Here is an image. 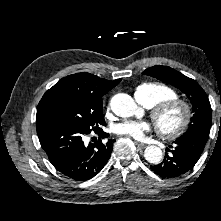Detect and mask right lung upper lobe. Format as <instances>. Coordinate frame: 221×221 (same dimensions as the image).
Returning a JSON list of instances; mask_svg holds the SVG:
<instances>
[{
    "label": "right lung upper lobe",
    "mask_w": 221,
    "mask_h": 221,
    "mask_svg": "<svg viewBox=\"0 0 221 221\" xmlns=\"http://www.w3.org/2000/svg\"><path fill=\"white\" fill-rule=\"evenodd\" d=\"M121 79L114 81L102 79L90 73H76L59 80L47 90L40 103L61 94L73 93L102 99V96L114 88Z\"/></svg>",
    "instance_id": "1"
}]
</instances>
